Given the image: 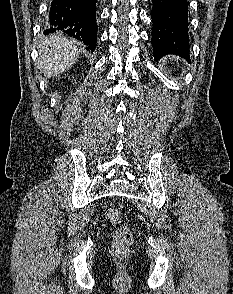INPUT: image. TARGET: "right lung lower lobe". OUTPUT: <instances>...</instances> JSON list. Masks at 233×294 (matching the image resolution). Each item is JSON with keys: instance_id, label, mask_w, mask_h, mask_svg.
Instances as JSON below:
<instances>
[{"instance_id": "98d812e1", "label": "right lung lower lobe", "mask_w": 233, "mask_h": 294, "mask_svg": "<svg viewBox=\"0 0 233 294\" xmlns=\"http://www.w3.org/2000/svg\"><path fill=\"white\" fill-rule=\"evenodd\" d=\"M97 0H52L45 34L61 31L94 51L97 40Z\"/></svg>"}]
</instances>
